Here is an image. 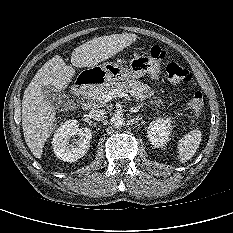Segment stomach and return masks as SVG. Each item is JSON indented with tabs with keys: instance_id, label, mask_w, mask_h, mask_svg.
<instances>
[{
	"instance_id": "1",
	"label": "stomach",
	"mask_w": 233,
	"mask_h": 233,
	"mask_svg": "<svg viewBox=\"0 0 233 233\" xmlns=\"http://www.w3.org/2000/svg\"><path fill=\"white\" fill-rule=\"evenodd\" d=\"M159 73L160 64L154 58L147 55H137L130 60L127 68L114 62H105L83 71L81 75L96 79L98 83H105L138 79L146 74H149L153 80H158Z\"/></svg>"
}]
</instances>
